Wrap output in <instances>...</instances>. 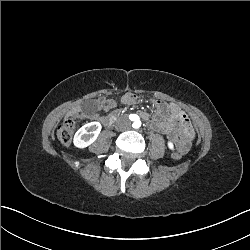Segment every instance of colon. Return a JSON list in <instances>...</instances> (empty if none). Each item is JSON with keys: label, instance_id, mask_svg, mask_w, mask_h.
Returning <instances> with one entry per match:
<instances>
[{"label": "colon", "instance_id": "obj_1", "mask_svg": "<svg viewBox=\"0 0 250 250\" xmlns=\"http://www.w3.org/2000/svg\"><path fill=\"white\" fill-rule=\"evenodd\" d=\"M127 98H131V103H142V98H139V93H127ZM157 105H166V100H157ZM94 108V106H92ZM77 127V121L73 117H66L58 126L56 131L57 140L63 145H69L72 141L73 134ZM183 158V153L175 151L172 153L173 160Z\"/></svg>", "mask_w": 250, "mask_h": 250}]
</instances>
